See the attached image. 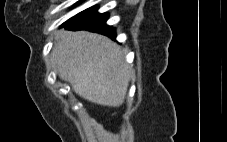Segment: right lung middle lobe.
I'll return each instance as SVG.
<instances>
[{
	"instance_id": "dd1d6c3e",
	"label": "right lung middle lobe",
	"mask_w": 227,
	"mask_h": 142,
	"mask_svg": "<svg viewBox=\"0 0 227 142\" xmlns=\"http://www.w3.org/2000/svg\"><path fill=\"white\" fill-rule=\"evenodd\" d=\"M96 10H97V7L89 8V9H87L85 11L80 12L79 14H77L76 16H74L73 18H71L70 20H73V19H76V18H81L83 16H86L88 14H91V13L95 12Z\"/></svg>"
}]
</instances>
